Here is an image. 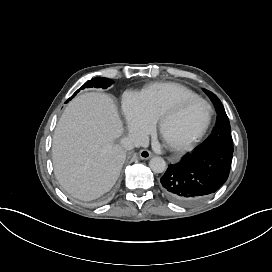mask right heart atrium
<instances>
[{
    "label": "right heart atrium",
    "instance_id": "1",
    "mask_svg": "<svg viewBox=\"0 0 272 272\" xmlns=\"http://www.w3.org/2000/svg\"><path fill=\"white\" fill-rule=\"evenodd\" d=\"M125 100L129 129L134 131L148 130L153 125L154 119L142 109L137 96L127 94Z\"/></svg>",
    "mask_w": 272,
    "mask_h": 272
}]
</instances>
